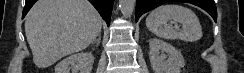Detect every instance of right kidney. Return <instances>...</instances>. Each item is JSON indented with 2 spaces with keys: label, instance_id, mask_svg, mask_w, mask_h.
<instances>
[{
  "label": "right kidney",
  "instance_id": "obj_1",
  "mask_svg": "<svg viewBox=\"0 0 244 73\" xmlns=\"http://www.w3.org/2000/svg\"><path fill=\"white\" fill-rule=\"evenodd\" d=\"M94 63L92 53L81 52L71 55L55 66V73H91Z\"/></svg>",
  "mask_w": 244,
  "mask_h": 73
}]
</instances>
